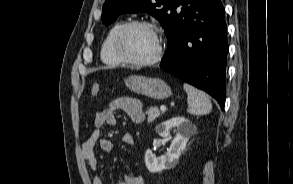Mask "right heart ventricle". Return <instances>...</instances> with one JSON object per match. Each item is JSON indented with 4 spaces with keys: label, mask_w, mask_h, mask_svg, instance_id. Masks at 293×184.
I'll list each match as a JSON object with an SVG mask.
<instances>
[{
    "label": "right heart ventricle",
    "mask_w": 293,
    "mask_h": 184,
    "mask_svg": "<svg viewBox=\"0 0 293 184\" xmlns=\"http://www.w3.org/2000/svg\"><path fill=\"white\" fill-rule=\"evenodd\" d=\"M124 23V21H120L114 24L102 42L100 57L102 62L108 66H118L122 63L113 52L112 42L116 32Z\"/></svg>",
    "instance_id": "e07e8e85"
}]
</instances>
